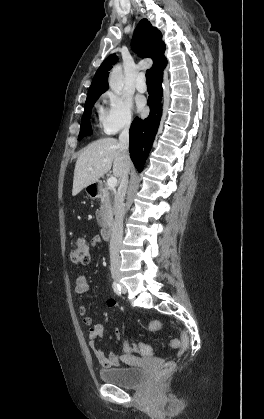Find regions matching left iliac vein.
Segmentation results:
<instances>
[{"label":"left iliac vein","mask_w":264,"mask_h":419,"mask_svg":"<svg viewBox=\"0 0 264 419\" xmlns=\"http://www.w3.org/2000/svg\"><path fill=\"white\" fill-rule=\"evenodd\" d=\"M122 292L124 293L125 292V289L122 287Z\"/></svg>","instance_id":"1"}]
</instances>
